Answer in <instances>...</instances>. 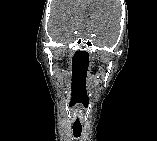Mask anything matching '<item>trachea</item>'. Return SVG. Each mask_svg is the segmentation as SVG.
I'll return each mask as SVG.
<instances>
[{"mask_svg":"<svg viewBox=\"0 0 157 141\" xmlns=\"http://www.w3.org/2000/svg\"><path fill=\"white\" fill-rule=\"evenodd\" d=\"M82 126H73V135L75 138H79L81 136Z\"/></svg>","mask_w":157,"mask_h":141,"instance_id":"1","label":"trachea"}]
</instances>
